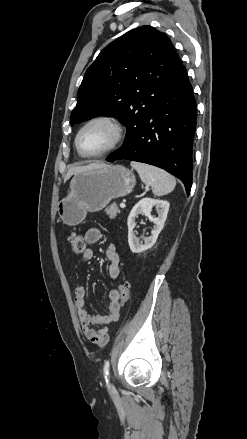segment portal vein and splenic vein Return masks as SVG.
Wrapping results in <instances>:
<instances>
[{
	"mask_svg": "<svg viewBox=\"0 0 247 439\" xmlns=\"http://www.w3.org/2000/svg\"><path fill=\"white\" fill-rule=\"evenodd\" d=\"M120 207H121V208H125V207H126L125 203H124V202H121V203H120Z\"/></svg>",
	"mask_w": 247,
	"mask_h": 439,
	"instance_id": "portal-vein-and-splenic-vein-1",
	"label": "portal vein and splenic vein"
}]
</instances>
